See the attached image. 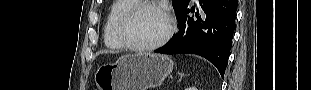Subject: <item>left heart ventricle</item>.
Returning a JSON list of instances; mask_svg holds the SVG:
<instances>
[{"label":"left heart ventricle","mask_w":311,"mask_h":90,"mask_svg":"<svg viewBox=\"0 0 311 90\" xmlns=\"http://www.w3.org/2000/svg\"><path fill=\"white\" fill-rule=\"evenodd\" d=\"M168 28L165 16L159 10L145 8L130 23L127 33L137 45H150L160 40Z\"/></svg>","instance_id":"obj_1"}]
</instances>
